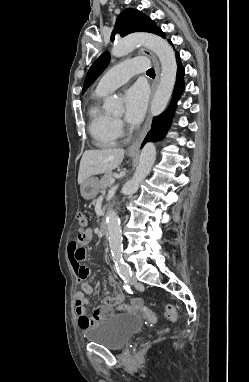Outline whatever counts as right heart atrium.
<instances>
[{
	"label": "right heart atrium",
	"mask_w": 249,
	"mask_h": 382,
	"mask_svg": "<svg viewBox=\"0 0 249 382\" xmlns=\"http://www.w3.org/2000/svg\"><path fill=\"white\" fill-rule=\"evenodd\" d=\"M114 123H115L116 131L118 132L119 135H121L123 132V129H124V125H123L122 121L119 119H115Z\"/></svg>",
	"instance_id": "1"
}]
</instances>
